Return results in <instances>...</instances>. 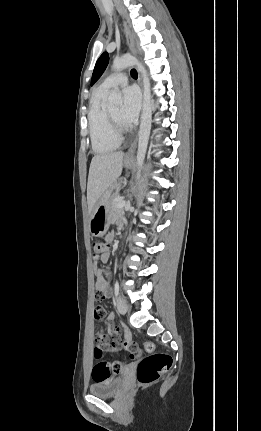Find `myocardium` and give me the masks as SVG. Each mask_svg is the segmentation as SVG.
Returning a JSON list of instances; mask_svg holds the SVG:
<instances>
[{"instance_id":"myocardium-1","label":"myocardium","mask_w":261,"mask_h":431,"mask_svg":"<svg viewBox=\"0 0 261 431\" xmlns=\"http://www.w3.org/2000/svg\"><path fill=\"white\" fill-rule=\"evenodd\" d=\"M107 118L110 124V127L114 133V135L119 138L120 140L122 139L123 135L126 133L127 129L125 127H123L121 124H119L110 114V112H107Z\"/></svg>"}]
</instances>
